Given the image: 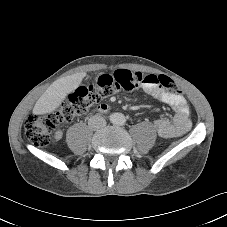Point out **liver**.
I'll use <instances>...</instances> for the list:
<instances>
[{"label":"liver","mask_w":227,"mask_h":227,"mask_svg":"<svg viewBox=\"0 0 227 227\" xmlns=\"http://www.w3.org/2000/svg\"><path fill=\"white\" fill-rule=\"evenodd\" d=\"M85 76V72H80L54 81L37 100L33 114H47L56 110L66 96L76 90Z\"/></svg>","instance_id":"1"}]
</instances>
